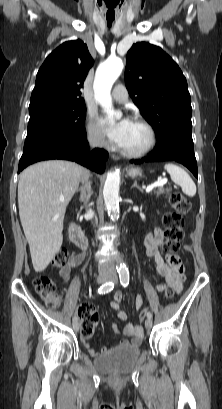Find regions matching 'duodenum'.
Listing matches in <instances>:
<instances>
[{
	"label": "duodenum",
	"instance_id": "obj_1",
	"mask_svg": "<svg viewBox=\"0 0 222 409\" xmlns=\"http://www.w3.org/2000/svg\"><path fill=\"white\" fill-rule=\"evenodd\" d=\"M68 234L70 240L74 243L75 246L82 250L87 249V238L79 224H77L76 222H72L69 226Z\"/></svg>",
	"mask_w": 222,
	"mask_h": 409
}]
</instances>
